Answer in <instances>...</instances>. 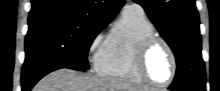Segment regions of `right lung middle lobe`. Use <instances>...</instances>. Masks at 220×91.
Wrapping results in <instances>:
<instances>
[{
  "mask_svg": "<svg viewBox=\"0 0 220 91\" xmlns=\"http://www.w3.org/2000/svg\"><path fill=\"white\" fill-rule=\"evenodd\" d=\"M106 26L66 19L30 24L25 40L22 79L36 76L49 67L87 70L88 50Z\"/></svg>",
  "mask_w": 220,
  "mask_h": 91,
  "instance_id": "1",
  "label": "right lung middle lobe"
}]
</instances>
